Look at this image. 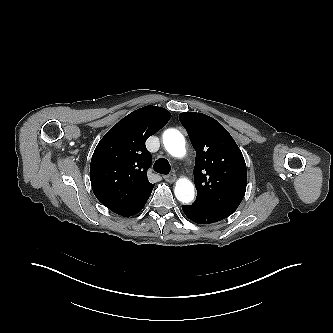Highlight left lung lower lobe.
Returning a JSON list of instances; mask_svg holds the SVG:
<instances>
[{
  "label": "left lung lower lobe",
  "mask_w": 333,
  "mask_h": 333,
  "mask_svg": "<svg viewBox=\"0 0 333 333\" xmlns=\"http://www.w3.org/2000/svg\"><path fill=\"white\" fill-rule=\"evenodd\" d=\"M182 210L190 220L199 224L218 222L229 216L224 212L199 202H194V204L188 206L182 205Z\"/></svg>",
  "instance_id": "left-lung-lower-lobe-1"
}]
</instances>
